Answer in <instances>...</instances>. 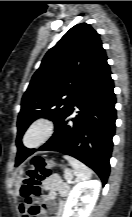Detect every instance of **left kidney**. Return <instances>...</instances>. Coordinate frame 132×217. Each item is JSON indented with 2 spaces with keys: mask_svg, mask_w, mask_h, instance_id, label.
Masks as SVG:
<instances>
[{
  "mask_svg": "<svg viewBox=\"0 0 132 217\" xmlns=\"http://www.w3.org/2000/svg\"><path fill=\"white\" fill-rule=\"evenodd\" d=\"M101 183L98 180L80 182L69 193L62 217H89L98 199ZM80 201V203H78ZM79 205L80 208L74 206Z\"/></svg>",
  "mask_w": 132,
  "mask_h": 217,
  "instance_id": "obj_1",
  "label": "left kidney"
}]
</instances>
